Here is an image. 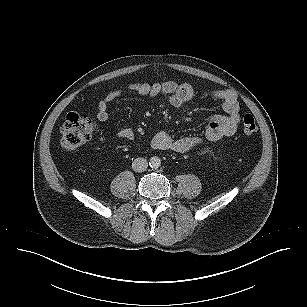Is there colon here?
I'll use <instances>...</instances> for the list:
<instances>
[{
    "mask_svg": "<svg viewBox=\"0 0 307 307\" xmlns=\"http://www.w3.org/2000/svg\"><path fill=\"white\" fill-rule=\"evenodd\" d=\"M242 129L247 135L256 132L257 124L251 114H246L243 117ZM94 131V119L77 113H70L61 127V145L65 150H74L89 141Z\"/></svg>",
    "mask_w": 307,
    "mask_h": 307,
    "instance_id": "1",
    "label": "colon"
}]
</instances>
